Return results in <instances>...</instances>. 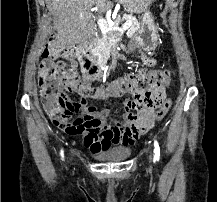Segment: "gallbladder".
I'll return each instance as SVG.
<instances>
[{
	"label": "gallbladder",
	"instance_id": "bac80fb5",
	"mask_svg": "<svg viewBox=\"0 0 217 202\" xmlns=\"http://www.w3.org/2000/svg\"><path fill=\"white\" fill-rule=\"evenodd\" d=\"M92 38H95V34H92Z\"/></svg>",
	"mask_w": 217,
	"mask_h": 202
}]
</instances>
